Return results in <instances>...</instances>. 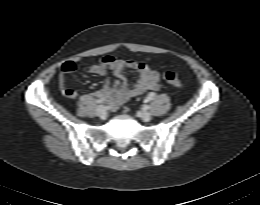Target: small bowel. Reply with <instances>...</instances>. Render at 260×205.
Wrapping results in <instances>:
<instances>
[{"label": "small bowel", "mask_w": 260, "mask_h": 205, "mask_svg": "<svg viewBox=\"0 0 260 205\" xmlns=\"http://www.w3.org/2000/svg\"><path fill=\"white\" fill-rule=\"evenodd\" d=\"M78 58L66 61L60 67L58 76L59 88L62 94L70 99L76 98L77 93L67 86V75L72 73L78 63ZM127 71L136 72L138 79L130 84L125 76ZM89 72L98 75L111 74L115 80L108 82L101 89L94 91L95 97L106 101L111 110L119 108L132 97L138 96L147 90L159 88L160 75L157 70L151 68L147 63L134 59H120L111 55L104 56L99 63L89 66Z\"/></svg>", "instance_id": "1"}]
</instances>
